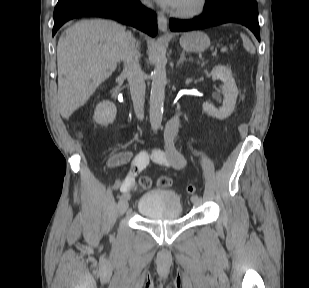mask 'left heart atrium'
I'll return each instance as SVG.
<instances>
[{"label":"left heart atrium","mask_w":309,"mask_h":288,"mask_svg":"<svg viewBox=\"0 0 309 288\" xmlns=\"http://www.w3.org/2000/svg\"><path fill=\"white\" fill-rule=\"evenodd\" d=\"M158 1L167 7L175 8L179 0H158Z\"/></svg>","instance_id":"1"}]
</instances>
